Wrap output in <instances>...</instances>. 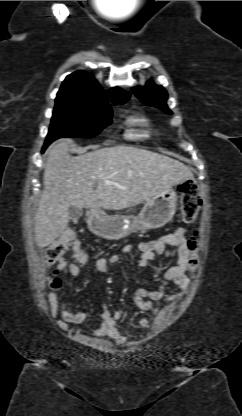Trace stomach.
Here are the masks:
<instances>
[{
	"label": "stomach",
	"mask_w": 242,
	"mask_h": 416,
	"mask_svg": "<svg viewBox=\"0 0 242 416\" xmlns=\"http://www.w3.org/2000/svg\"><path fill=\"white\" fill-rule=\"evenodd\" d=\"M178 196L169 187L147 201L138 216L107 215L92 210L87 214L89 230L107 240L122 239L132 232L157 229L169 222L176 211Z\"/></svg>",
	"instance_id": "obj_1"
}]
</instances>
